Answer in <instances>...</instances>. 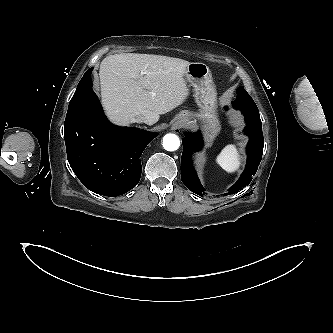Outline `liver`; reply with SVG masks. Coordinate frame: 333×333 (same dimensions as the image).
Listing matches in <instances>:
<instances>
[{
  "instance_id": "liver-1",
  "label": "liver",
  "mask_w": 333,
  "mask_h": 333,
  "mask_svg": "<svg viewBox=\"0 0 333 333\" xmlns=\"http://www.w3.org/2000/svg\"><path fill=\"white\" fill-rule=\"evenodd\" d=\"M186 60L122 53L107 56L100 65L101 101L109 119L119 125L137 116L155 124L161 114L181 105L189 94L184 74ZM145 71L146 74L141 75Z\"/></svg>"
}]
</instances>
